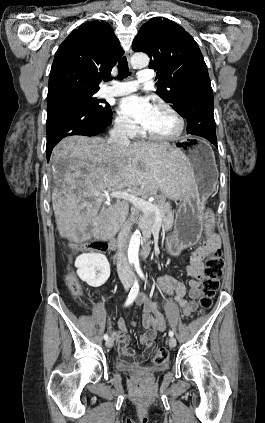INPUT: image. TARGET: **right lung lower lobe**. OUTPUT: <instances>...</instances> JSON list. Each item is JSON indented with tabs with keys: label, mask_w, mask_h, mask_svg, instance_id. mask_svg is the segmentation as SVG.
Returning <instances> with one entry per match:
<instances>
[{
	"label": "right lung lower lobe",
	"mask_w": 265,
	"mask_h": 423,
	"mask_svg": "<svg viewBox=\"0 0 265 423\" xmlns=\"http://www.w3.org/2000/svg\"><path fill=\"white\" fill-rule=\"evenodd\" d=\"M111 122L112 111L102 114L76 99L59 97L47 102V161L61 139L72 135H98Z\"/></svg>",
	"instance_id": "98d812e1"
}]
</instances>
